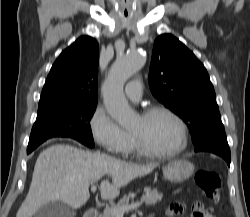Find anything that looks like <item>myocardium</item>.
Listing matches in <instances>:
<instances>
[{
  "mask_svg": "<svg viewBox=\"0 0 250 217\" xmlns=\"http://www.w3.org/2000/svg\"><path fill=\"white\" fill-rule=\"evenodd\" d=\"M156 113H164L170 116L178 125L180 129V142L172 150L166 152H158L149 148L135 133L131 132L132 139L134 141L136 150L145 156L156 158V159H167L174 157L181 153L187 146L188 143V127L185 121L171 108L164 105H152L145 108L140 116L147 118Z\"/></svg>",
  "mask_w": 250,
  "mask_h": 217,
  "instance_id": "1",
  "label": "myocardium"
}]
</instances>
